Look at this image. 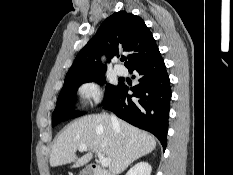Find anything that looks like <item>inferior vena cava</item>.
<instances>
[{"label": "inferior vena cava", "instance_id": "602c4592", "mask_svg": "<svg viewBox=\"0 0 233 175\" xmlns=\"http://www.w3.org/2000/svg\"><path fill=\"white\" fill-rule=\"evenodd\" d=\"M111 122L113 123V124H117V118L115 117V116H111Z\"/></svg>", "mask_w": 233, "mask_h": 175}]
</instances>
